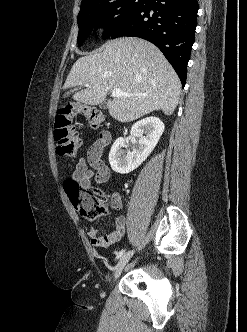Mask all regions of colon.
<instances>
[{
  "instance_id": "obj_1",
  "label": "colon",
  "mask_w": 247,
  "mask_h": 332,
  "mask_svg": "<svg viewBox=\"0 0 247 332\" xmlns=\"http://www.w3.org/2000/svg\"><path fill=\"white\" fill-rule=\"evenodd\" d=\"M78 113L86 116L88 124L92 128L99 127L104 118L103 113L93 106L67 104L61 107L54 121V139L59 155L73 158L78 153L81 139L72 126V117ZM65 189L72 203L84 218L94 220L108 213V207L102 199L101 191L82 189L73 179L65 181Z\"/></svg>"
}]
</instances>
